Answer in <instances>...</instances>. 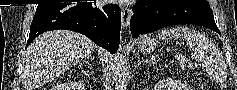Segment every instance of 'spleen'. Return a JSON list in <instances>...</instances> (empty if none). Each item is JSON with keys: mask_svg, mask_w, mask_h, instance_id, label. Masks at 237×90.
Here are the masks:
<instances>
[{"mask_svg": "<svg viewBox=\"0 0 237 90\" xmlns=\"http://www.w3.org/2000/svg\"><path fill=\"white\" fill-rule=\"evenodd\" d=\"M173 38L175 40H184L186 46L190 48V56H193L194 60H198V62H204L205 66H207L212 44L205 36H202L200 32L191 30V28H179V26L164 28L156 36V40H173Z\"/></svg>", "mask_w": 237, "mask_h": 90, "instance_id": "1", "label": "spleen"}]
</instances>
